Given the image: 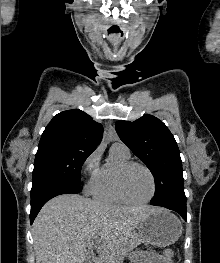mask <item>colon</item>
I'll return each instance as SVG.
<instances>
[{
  "mask_svg": "<svg viewBox=\"0 0 220 263\" xmlns=\"http://www.w3.org/2000/svg\"><path fill=\"white\" fill-rule=\"evenodd\" d=\"M173 257H174V252H173V250H171V249L165 250V252H164V258H165L166 260L172 262Z\"/></svg>",
  "mask_w": 220,
  "mask_h": 263,
  "instance_id": "colon-1",
  "label": "colon"
}]
</instances>
